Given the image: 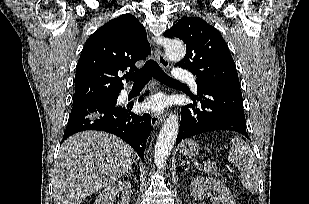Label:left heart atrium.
Masks as SVG:
<instances>
[{
  "mask_svg": "<svg viewBox=\"0 0 309 204\" xmlns=\"http://www.w3.org/2000/svg\"><path fill=\"white\" fill-rule=\"evenodd\" d=\"M166 103L164 99L160 96H156L151 98L144 104V109L154 111V112H161L164 110Z\"/></svg>",
  "mask_w": 309,
  "mask_h": 204,
  "instance_id": "obj_1",
  "label": "left heart atrium"
}]
</instances>
